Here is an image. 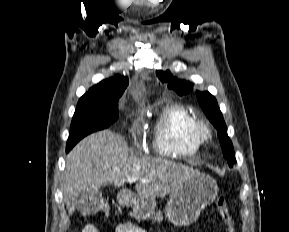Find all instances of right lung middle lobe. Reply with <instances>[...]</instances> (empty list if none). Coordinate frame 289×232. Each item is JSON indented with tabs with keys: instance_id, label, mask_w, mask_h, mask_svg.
I'll return each instance as SVG.
<instances>
[{
	"instance_id": "obj_1",
	"label": "right lung middle lobe",
	"mask_w": 289,
	"mask_h": 232,
	"mask_svg": "<svg viewBox=\"0 0 289 232\" xmlns=\"http://www.w3.org/2000/svg\"><path fill=\"white\" fill-rule=\"evenodd\" d=\"M117 98H80L74 113L66 152L86 135L108 128L119 116Z\"/></svg>"
}]
</instances>
